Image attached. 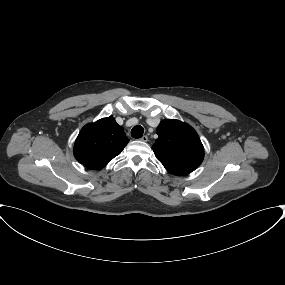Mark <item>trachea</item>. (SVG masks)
<instances>
[{
	"mask_svg": "<svg viewBox=\"0 0 285 285\" xmlns=\"http://www.w3.org/2000/svg\"><path fill=\"white\" fill-rule=\"evenodd\" d=\"M143 133L144 129L140 125L134 126L131 130V136L136 139L141 138L143 136Z\"/></svg>",
	"mask_w": 285,
	"mask_h": 285,
	"instance_id": "1",
	"label": "trachea"
}]
</instances>
